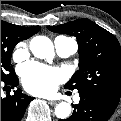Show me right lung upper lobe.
I'll return each instance as SVG.
<instances>
[{
  "label": "right lung upper lobe",
  "mask_w": 121,
  "mask_h": 121,
  "mask_svg": "<svg viewBox=\"0 0 121 121\" xmlns=\"http://www.w3.org/2000/svg\"><path fill=\"white\" fill-rule=\"evenodd\" d=\"M22 30L24 31L27 38L31 37L33 34H36L40 30V26H34V27H22Z\"/></svg>",
  "instance_id": "cb5924a9"
}]
</instances>
